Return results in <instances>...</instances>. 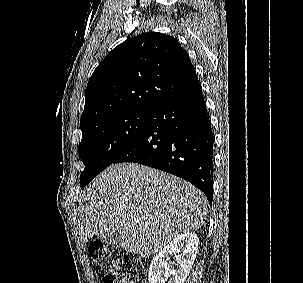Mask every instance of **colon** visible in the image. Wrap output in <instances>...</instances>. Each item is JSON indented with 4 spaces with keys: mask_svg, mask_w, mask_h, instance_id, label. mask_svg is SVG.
<instances>
[{
    "mask_svg": "<svg viewBox=\"0 0 303 283\" xmlns=\"http://www.w3.org/2000/svg\"><path fill=\"white\" fill-rule=\"evenodd\" d=\"M89 255L97 275L103 283H135L138 268L131 258L105 244L92 241L88 246Z\"/></svg>",
    "mask_w": 303,
    "mask_h": 283,
    "instance_id": "obj_1",
    "label": "colon"
}]
</instances>
